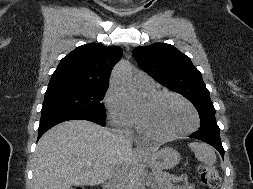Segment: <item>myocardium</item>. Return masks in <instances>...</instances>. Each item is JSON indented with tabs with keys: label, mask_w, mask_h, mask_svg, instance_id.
Masks as SVG:
<instances>
[{
	"label": "myocardium",
	"mask_w": 253,
	"mask_h": 189,
	"mask_svg": "<svg viewBox=\"0 0 253 189\" xmlns=\"http://www.w3.org/2000/svg\"><path fill=\"white\" fill-rule=\"evenodd\" d=\"M163 97H173V98L181 101L182 103H184L191 110V112L193 114L194 121H193L192 126H190L189 128H187L181 132L175 133V134L158 135V134L148 131L143 126L140 116L137 114V128H138V131L142 135H144L150 139L157 140V141H171V140H175V139L184 137L186 135H189L198 129L199 124H200L199 114H198L196 108L193 106V104L190 101H188L186 98H184L183 96H181L175 92L160 91V92H155L154 94L148 96L146 102L151 105V104L156 103L159 99H161Z\"/></svg>",
	"instance_id": "f54148a6"
}]
</instances>
